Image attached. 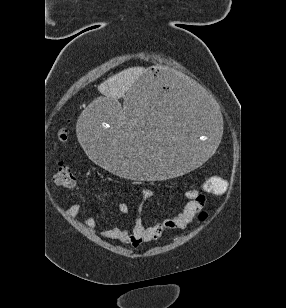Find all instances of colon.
I'll return each mask as SVG.
<instances>
[{
	"label": "colon",
	"instance_id": "5ec220e1",
	"mask_svg": "<svg viewBox=\"0 0 286 308\" xmlns=\"http://www.w3.org/2000/svg\"><path fill=\"white\" fill-rule=\"evenodd\" d=\"M60 140L64 141L66 139V133L62 131L59 135ZM55 183L66 189H72L77 187L78 181L74 172L65 164L59 163L56 171L54 173ZM228 184L225 179L220 177H212L205 183V191L209 193H223L227 190ZM207 213L205 211L199 214L200 220H205Z\"/></svg>",
	"mask_w": 286,
	"mask_h": 308
}]
</instances>
